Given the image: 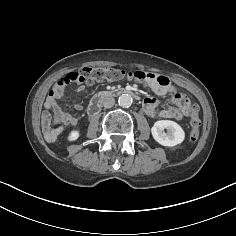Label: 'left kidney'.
<instances>
[{
    "instance_id": "5707ae66",
    "label": "left kidney",
    "mask_w": 236,
    "mask_h": 236,
    "mask_svg": "<svg viewBox=\"0 0 236 236\" xmlns=\"http://www.w3.org/2000/svg\"><path fill=\"white\" fill-rule=\"evenodd\" d=\"M165 129L167 132L164 131ZM151 133L156 142L166 147L181 144L185 138V132L181 126L171 120L156 121L151 128Z\"/></svg>"
}]
</instances>
